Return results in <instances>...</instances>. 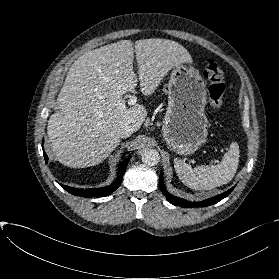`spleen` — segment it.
<instances>
[{"label":"spleen","instance_id":"3e777b00","mask_svg":"<svg viewBox=\"0 0 279 279\" xmlns=\"http://www.w3.org/2000/svg\"><path fill=\"white\" fill-rule=\"evenodd\" d=\"M239 162V146L230 145L219 165L214 167L198 166L192 168L180 160H175V170L180 180L195 190H210L230 182L235 176Z\"/></svg>","mask_w":279,"mask_h":279}]
</instances>
